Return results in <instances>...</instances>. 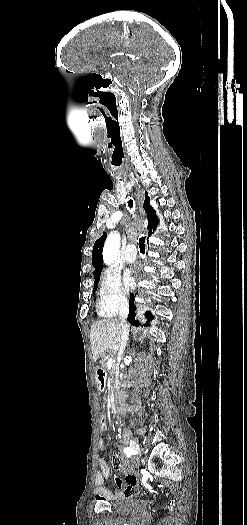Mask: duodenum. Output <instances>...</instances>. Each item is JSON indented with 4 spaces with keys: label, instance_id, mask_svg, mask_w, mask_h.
<instances>
[{
    "label": "duodenum",
    "instance_id": "duodenum-1",
    "mask_svg": "<svg viewBox=\"0 0 247 525\" xmlns=\"http://www.w3.org/2000/svg\"><path fill=\"white\" fill-rule=\"evenodd\" d=\"M95 373H96V378L99 381V383L102 386H104V384L106 382V373H105L104 369L102 367H97ZM109 407H110L111 413H113V414L116 413V400H115L114 396H111V398H110Z\"/></svg>",
    "mask_w": 247,
    "mask_h": 525
}]
</instances>
